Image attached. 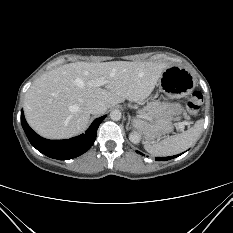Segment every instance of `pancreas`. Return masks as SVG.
Listing matches in <instances>:
<instances>
[{"label": "pancreas", "mask_w": 233, "mask_h": 233, "mask_svg": "<svg viewBox=\"0 0 233 233\" xmlns=\"http://www.w3.org/2000/svg\"><path fill=\"white\" fill-rule=\"evenodd\" d=\"M150 109V105L145 107L143 110L139 111V116L143 118H147L149 116L148 111Z\"/></svg>", "instance_id": "1"}]
</instances>
